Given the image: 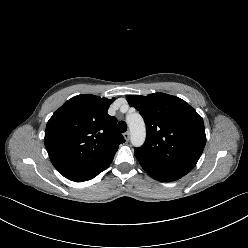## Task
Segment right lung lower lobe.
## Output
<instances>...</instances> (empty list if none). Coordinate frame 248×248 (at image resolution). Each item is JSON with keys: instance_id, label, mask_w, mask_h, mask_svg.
Returning <instances> with one entry per match:
<instances>
[{"instance_id": "98d812e1", "label": "right lung lower lobe", "mask_w": 248, "mask_h": 248, "mask_svg": "<svg viewBox=\"0 0 248 248\" xmlns=\"http://www.w3.org/2000/svg\"><path fill=\"white\" fill-rule=\"evenodd\" d=\"M112 159H109L99 165L90 167V168H62L58 169V171L67 179L75 182H82L86 180L93 179L95 176H97L99 173H101L103 170H105L110 163L112 162Z\"/></svg>"}]
</instances>
